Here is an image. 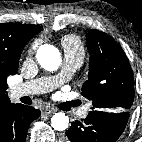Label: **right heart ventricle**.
Instances as JSON below:
<instances>
[{
    "instance_id": "obj_1",
    "label": "right heart ventricle",
    "mask_w": 142,
    "mask_h": 142,
    "mask_svg": "<svg viewBox=\"0 0 142 142\" xmlns=\"http://www.w3.org/2000/svg\"><path fill=\"white\" fill-rule=\"evenodd\" d=\"M62 46L65 51V54L77 55L83 57L84 47L79 39L75 35H67L62 39Z\"/></svg>"
}]
</instances>
